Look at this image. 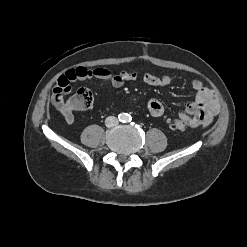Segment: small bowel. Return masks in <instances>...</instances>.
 Returning <instances> with one entry per match:
<instances>
[{"label":"small bowel","instance_id":"c3829d8e","mask_svg":"<svg viewBox=\"0 0 247 247\" xmlns=\"http://www.w3.org/2000/svg\"><path fill=\"white\" fill-rule=\"evenodd\" d=\"M92 78L108 81L115 88H120L129 81H141L151 86H166L171 83L169 76H157L152 73L138 74L129 70L113 72L106 68L77 67L70 69L59 77L52 94L54 106L60 111L68 124L73 123L75 110L71 107L69 100L64 101L63 95L71 91L73 82ZM192 89L193 100L186 105L184 111L178 114V117L189 127H206L219 112L218 99L214 91L199 80L192 82ZM147 107L153 117H160L164 113V107L157 99H150Z\"/></svg>","mask_w":247,"mask_h":247}]
</instances>
